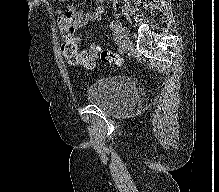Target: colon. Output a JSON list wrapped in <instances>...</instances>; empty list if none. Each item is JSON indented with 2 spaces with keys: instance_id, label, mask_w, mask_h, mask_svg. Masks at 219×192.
Returning <instances> with one entry per match:
<instances>
[{
  "instance_id": "1",
  "label": "colon",
  "mask_w": 219,
  "mask_h": 192,
  "mask_svg": "<svg viewBox=\"0 0 219 192\" xmlns=\"http://www.w3.org/2000/svg\"><path fill=\"white\" fill-rule=\"evenodd\" d=\"M61 51L63 56L73 65H81L85 67H94L96 58L100 61L122 66L124 60L117 53L102 49L97 45H92L87 49L80 50L77 43L76 36L73 34H67L62 41Z\"/></svg>"
}]
</instances>
